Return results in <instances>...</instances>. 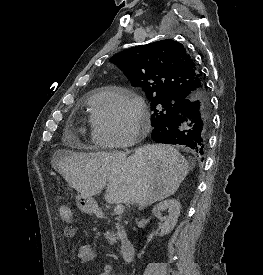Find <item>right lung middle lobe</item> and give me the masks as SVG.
<instances>
[{"label": "right lung middle lobe", "instance_id": "right-lung-middle-lobe-1", "mask_svg": "<svg viewBox=\"0 0 263 275\" xmlns=\"http://www.w3.org/2000/svg\"><path fill=\"white\" fill-rule=\"evenodd\" d=\"M148 99L151 101V110L153 111L151 116L153 127L176 114L185 104V100L169 97H148Z\"/></svg>", "mask_w": 263, "mask_h": 275}]
</instances>
